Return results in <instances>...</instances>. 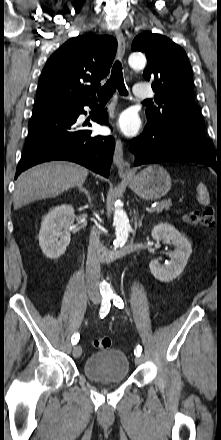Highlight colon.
Here are the masks:
<instances>
[{
    "mask_svg": "<svg viewBox=\"0 0 221 440\" xmlns=\"http://www.w3.org/2000/svg\"><path fill=\"white\" fill-rule=\"evenodd\" d=\"M183 221L192 226L211 227L215 222V214L213 210H193L183 215ZM112 341L110 338L102 337L93 341V346L99 350L110 348Z\"/></svg>",
    "mask_w": 221,
    "mask_h": 440,
    "instance_id": "obj_1",
    "label": "colon"
}]
</instances>
